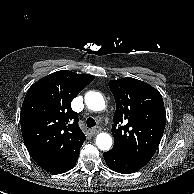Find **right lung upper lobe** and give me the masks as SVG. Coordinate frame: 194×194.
Returning a JSON list of instances; mask_svg holds the SVG:
<instances>
[{"mask_svg":"<svg viewBox=\"0 0 194 194\" xmlns=\"http://www.w3.org/2000/svg\"><path fill=\"white\" fill-rule=\"evenodd\" d=\"M94 79L90 74L61 70L34 83L24 98L20 123L33 160L59 174L78 158L85 141L71 101Z\"/></svg>","mask_w":194,"mask_h":194,"instance_id":"right-lung-upper-lobe-1","label":"right lung upper lobe"}]
</instances>
